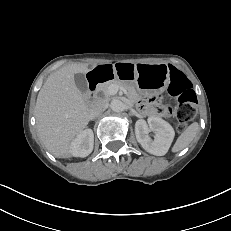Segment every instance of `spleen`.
Masks as SVG:
<instances>
[{
  "label": "spleen",
  "mask_w": 231,
  "mask_h": 231,
  "mask_svg": "<svg viewBox=\"0 0 231 231\" xmlns=\"http://www.w3.org/2000/svg\"><path fill=\"white\" fill-rule=\"evenodd\" d=\"M199 130V124L197 122L189 125L186 130L178 137L175 144L172 147V152H179L187 147L196 137Z\"/></svg>",
  "instance_id": "3e777b00"
}]
</instances>
